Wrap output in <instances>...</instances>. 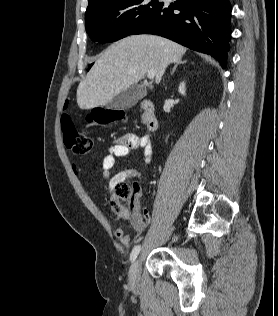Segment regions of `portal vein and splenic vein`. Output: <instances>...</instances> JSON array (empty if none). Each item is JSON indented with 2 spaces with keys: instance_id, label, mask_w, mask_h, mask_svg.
Returning a JSON list of instances; mask_svg holds the SVG:
<instances>
[{
  "instance_id": "obj_1",
  "label": "portal vein and splenic vein",
  "mask_w": 278,
  "mask_h": 316,
  "mask_svg": "<svg viewBox=\"0 0 278 316\" xmlns=\"http://www.w3.org/2000/svg\"><path fill=\"white\" fill-rule=\"evenodd\" d=\"M147 77H148L149 79H154V77H155V71H154V70H149V71L147 72Z\"/></svg>"
}]
</instances>
